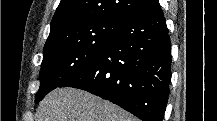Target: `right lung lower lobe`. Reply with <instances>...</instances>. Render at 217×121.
<instances>
[{
	"instance_id": "right-lung-lower-lobe-1",
	"label": "right lung lower lobe",
	"mask_w": 217,
	"mask_h": 121,
	"mask_svg": "<svg viewBox=\"0 0 217 121\" xmlns=\"http://www.w3.org/2000/svg\"><path fill=\"white\" fill-rule=\"evenodd\" d=\"M170 82V37L153 0L122 24L95 61L59 87L86 90L143 121H162Z\"/></svg>"
}]
</instances>
